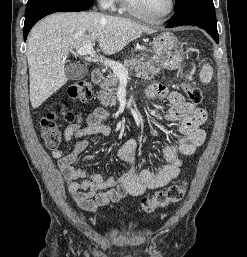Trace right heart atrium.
Masks as SVG:
<instances>
[{
    "label": "right heart atrium",
    "instance_id": "obj_1",
    "mask_svg": "<svg viewBox=\"0 0 247 257\" xmlns=\"http://www.w3.org/2000/svg\"><path fill=\"white\" fill-rule=\"evenodd\" d=\"M98 2L103 9L111 10L114 8L116 0H98Z\"/></svg>",
    "mask_w": 247,
    "mask_h": 257
}]
</instances>
